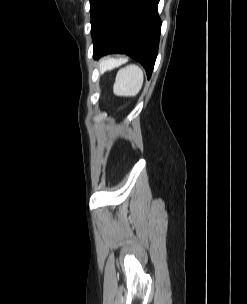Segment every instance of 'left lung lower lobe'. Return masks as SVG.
<instances>
[{
    "mask_svg": "<svg viewBox=\"0 0 247 304\" xmlns=\"http://www.w3.org/2000/svg\"><path fill=\"white\" fill-rule=\"evenodd\" d=\"M159 0H101L91 18L93 56L125 53L139 61L150 78L158 52Z\"/></svg>",
    "mask_w": 247,
    "mask_h": 304,
    "instance_id": "0a47b994",
    "label": "left lung lower lobe"
}]
</instances>
